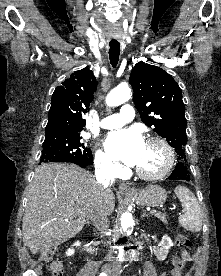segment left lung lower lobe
<instances>
[{
	"instance_id": "left-lung-lower-lobe-1",
	"label": "left lung lower lobe",
	"mask_w": 221,
	"mask_h": 276,
	"mask_svg": "<svg viewBox=\"0 0 221 276\" xmlns=\"http://www.w3.org/2000/svg\"><path fill=\"white\" fill-rule=\"evenodd\" d=\"M188 168L181 162L177 163L176 168L173 170L172 174L169 176V180H190L188 174Z\"/></svg>"
}]
</instances>
